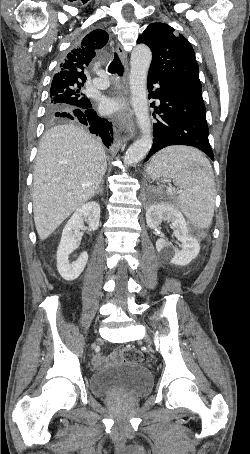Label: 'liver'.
Returning a JSON list of instances; mask_svg holds the SVG:
<instances>
[{"instance_id": "liver-1", "label": "liver", "mask_w": 250, "mask_h": 454, "mask_svg": "<svg viewBox=\"0 0 250 454\" xmlns=\"http://www.w3.org/2000/svg\"><path fill=\"white\" fill-rule=\"evenodd\" d=\"M106 168L103 146L84 129L58 125L44 133L33 178L34 222L40 240L95 195Z\"/></svg>"}]
</instances>
